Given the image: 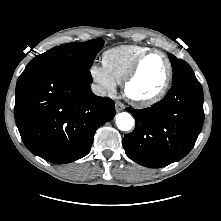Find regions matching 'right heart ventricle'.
Here are the masks:
<instances>
[{
	"label": "right heart ventricle",
	"instance_id": "right-heart-ventricle-1",
	"mask_svg": "<svg viewBox=\"0 0 221 221\" xmlns=\"http://www.w3.org/2000/svg\"><path fill=\"white\" fill-rule=\"evenodd\" d=\"M150 48L137 44L120 45L106 50L102 55V65L109 76L122 84L135 60Z\"/></svg>",
	"mask_w": 221,
	"mask_h": 221
}]
</instances>
